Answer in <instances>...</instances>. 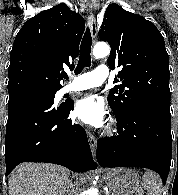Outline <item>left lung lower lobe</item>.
Instances as JSON below:
<instances>
[{"mask_svg":"<svg viewBox=\"0 0 178 195\" xmlns=\"http://www.w3.org/2000/svg\"><path fill=\"white\" fill-rule=\"evenodd\" d=\"M116 120L118 135L97 141L98 164L148 168L165 184L171 165V117L136 110Z\"/></svg>","mask_w":178,"mask_h":195,"instance_id":"obj_1","label":"left lung lower lobe"}]
</instances>
